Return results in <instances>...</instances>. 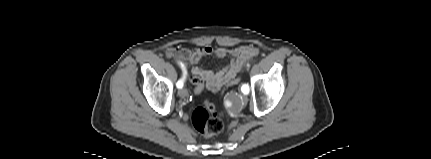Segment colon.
Masks as SVG:
<instances>
[{"mask_svg": "<svg viewBox=\"0 0 431 159\" xmlns=\"http://www.w3.org/2000/svg\"><path fill=\"white\" fill-rule=\"evenodd\" d=\"M244 77L237 75V78L231 80L224 87H230L241 81ZM189 84L195 86V95H200L204 89V80L202 77H189ZM215 105L210 100H205L204 105L197 107L192 114V124L196 131L205 137H211L220 133L223 129L222 119L215 111Z\"/></svg>", "mask_w": 431, "mask_h": 159, "instance_id": "colon-1", "label": "colon"}]
</instances>
